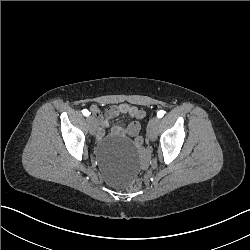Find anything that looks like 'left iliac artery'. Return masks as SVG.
<instances>
[{"instance_id": "obj_1", "label": "left iliac artery", "mask_w": 250, "mask_h": 250, "mask_svg": "<svg viewBox=\"0 0 250 250\" xmlns=\"http://www.w3.org/2000/svg\"><path fill=\"white\" fill-rule=\"evenodd\" d=\"M164 114H165V111L160 110V111H158V113H157V117H158V118H162V117L164 116Z\"/></svg>"}]
</instances>
